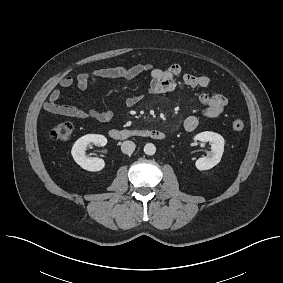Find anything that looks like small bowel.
Returning <instances> with one entry per match:
<instances>
[{"label": "small bowel", "mask_w": 283, "mask_h": 283, "mask_svg": "<svg viewBox=\"0 0 283 283\" xmlns=\"http://www.w3.org/2000/svg\"><path fill=\"white\" fill-rule=\"evenodd\" d=\"M143 73H148L150 76L147 92L152 95L165 94L175 89L191 91L196 88H208L211 83L210 78L206 75L184 72L178 63H174L167 68H158L153 64L143 63L134 66L97 68L90 72L67 75L60 81L59 85L62 88L77 86L78 89L85 91L99 79H133ZM60 98V89L54 88L44 104V109L53 114L80 119L91 118L99 122H108L113 116L110 110L96 109L90 101H86L82 107H75L59 104ZM198 98L205 105L204 115L207 118L220 116L228 104L227 97L219 92H202L198 95ZM141 99V94L131 95L126 99L125 106L127 108L134 107ZM198 125L199 119L194 115L188 116L183 123L187 131H194Z\"/></svg>", "instance_id": "c3829d8e"}]
</instances>
